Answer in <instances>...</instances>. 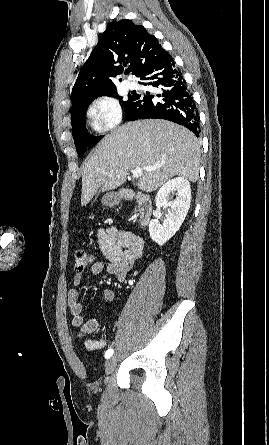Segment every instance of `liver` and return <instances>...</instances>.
Wrapping results in <instances>:
<instances>
[{"label":"liver","mask_w":269,"mask_h":445,"mask_svg":"<svg viewBox=\"0 0 269 445\" xmlns=\"http://www.w3.org/2000/svg\"><path fill=\"white\" fill-rule=\"evenodd\" d=\"M199 159V141L182 126L165 120L126 123L106 135L84 163L81 205L86 206L99 188L105 192L123 185L128 171L136 168L144 170L137 185L145 192L176 175L195 182ZM156 165L161 167L146 170Z\"/></svg>","instance_id":"6515ba94"}]
</instances>
